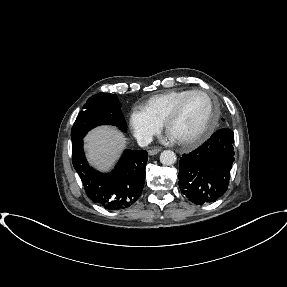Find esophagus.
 I'll list each match as a JSON object with an SVG mask.
<instances>
[{
    "mask_svg": "<svg viewBox=\"0 0 287 287\" xmlns=\"http://www.w3.org/2000/svg\"><path fill=\"white\" fill-rule=\"evenodd\" d=\"M160 151H161L160 148H153V149H150V150L148 151V154H149V155H156V154H158Z\"/></svg>",
    "mask_w": 287,
    "mask_h": 287,
    "instance_id": "1",
    "label": "esophagus"
}]
</instances>
